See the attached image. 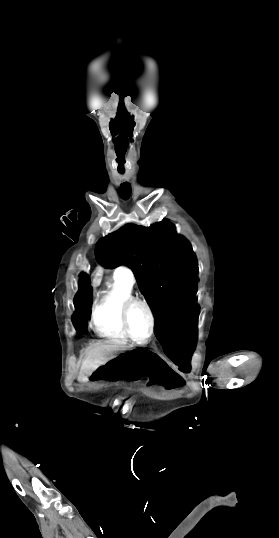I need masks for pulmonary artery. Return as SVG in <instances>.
<instances>
[{
  "mask_svg": "<svg viewBox=\"0 0 279 538\" xmlns=\"http://www.w3.org/2000/svg\"><path fill=\"white\" fill-rule=\"evenodd\" d=\"M125 271H127L126 267H124V266H119V267H117V268L114 270L113 275H116V276H117V275L122 274V273L125 272ZM129 279H133V275L130 274V275H129Z\"/></svg>",
  "mask_w": 279,
  "mask_h": 538,
  "instance_id": "pulmonary-artery-1",
  "label": "pulmonary artery"
}]
</instances>
